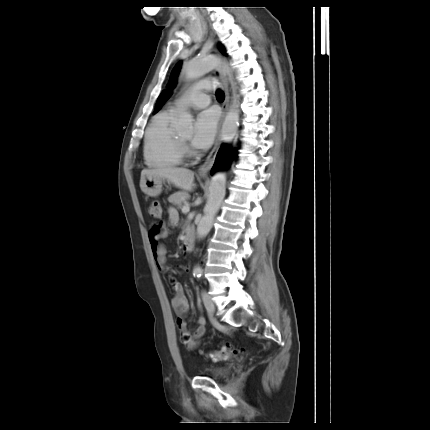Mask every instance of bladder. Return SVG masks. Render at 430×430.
<instances>
[{"label":"bladder","mask_w":430,"mask_h":430,"mask_svg":"<svg viewBox=\"0 0 430 430\" xmlns=\"http://www.w3.org/2000/svg\"><path fill=\"white\" fill-rule=\"evenodd\" d=\"M230 372H231V368L229 367H216V368L208 369L209 375L217 379H222L227 377L230 374Z\"/></svg>","instance_id":"1"}]
</instances>
